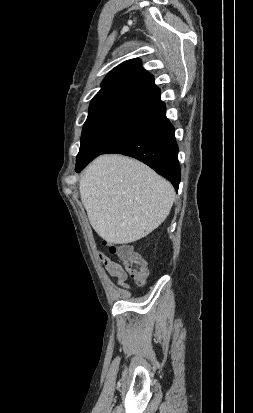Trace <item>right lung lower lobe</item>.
Here are the masks:
<instances>
[{
	"mask_svg": "<svg viewBox=\"0 0 253 413\" xmlns=\"http://www.w3.org/2000/svg\"><path fill=\"white\" fill-rule=\"evenodd\" d=\"M165 110L149 117L138 129L102 154L117 153L136 158L169 180L177 191L180 183L178 146L174 127L166 118ZM88 163L76 166V171L79 172Z\"/></svg>",
	"mask_w": 253,
	"mask_h": 413,
	"instance_id": "right-lung-lower-lobe-1",
	"label": "right lung lower lobe"
}]
</instances>
